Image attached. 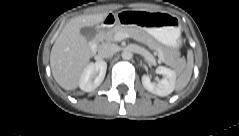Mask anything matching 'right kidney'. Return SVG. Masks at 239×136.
Segmentation results:
<instances>
[{"label":"right kidney","mask_w":239,"mask_h":136,"mask_svg":"<svg viewBox=\"0 0 239 136\" xmlns=\"http://www.w3.org/2000/svg\"><path fill=\"white\" fill-rule=\"evenodd\" d=\"M106 70L107 63L105 61L89 63L80 76V89L84 92L94 91L103 82L106 75Z\"/></svg>","instance_id":"obj_1"}]
</instances>
